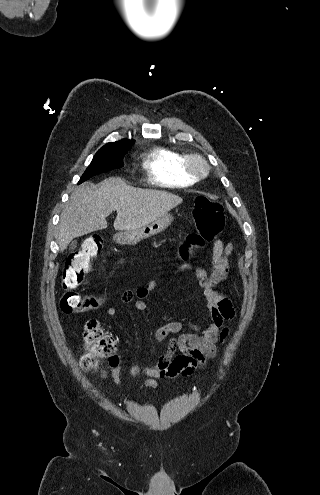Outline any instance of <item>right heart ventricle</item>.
Instances as JSON below:
<instances>
[{"instance_id": "obj_1", "label": "right heart ventricle", "mask_w": 320, "mask_h": 495, "mask_svg": "<svg viewBox=\"0 0 320 495\" xmlns=\"http://www.w3.org/2000/svg\"><path fill=\"white\" fill-rule=\"evenodd\" d=\"M185 155L169 147H155L143 161V167L153 183L165 187H186L196 179L184 169Z\"/></svg>"}]
</instances>
